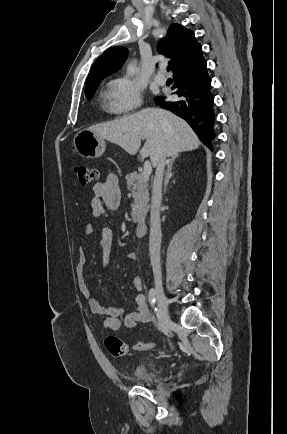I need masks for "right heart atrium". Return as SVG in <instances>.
<instances>
[{
	"instance_id": "right-heart-atrium-1",
	"label": "right heart atrium",
	"mask_w": 287,
	"mask_h": 434,
	"mask_svg": "<svg viewBox=\"0 0 287 434\" xmlns=\"http://www.w3.org/2000/svg\"><path fill=\"white\" fill-rule=\"evenodd\" d=\"M141 96V86L130 78H116L108 85V107L114 113L125 114L134 110L140 105Z\"/></svg>"
}]
</instances>
